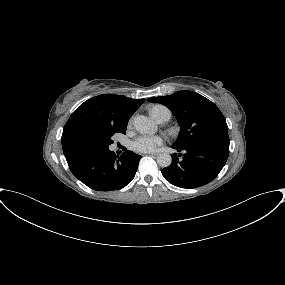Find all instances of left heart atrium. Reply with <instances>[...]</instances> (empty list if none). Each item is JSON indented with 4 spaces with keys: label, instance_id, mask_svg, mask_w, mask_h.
I'll return each mask as SVG.
<instances>
[{
    "label": "left heart atrium",
    "instance_id": "obj_1",
    "mask_svg": "<svg viewBox=\"0 0 285 285\" xmlns=\"http://www.w3.org/2000/svg\"><path fill=\"white\" fill-rule=\"evenodd\" d=\"M163 143L160 136L141 134L131 143V148L138 152H151Z\"/></svg>",
    "mask_w": 285,
    "mask_h": 285
}]
</instances>
